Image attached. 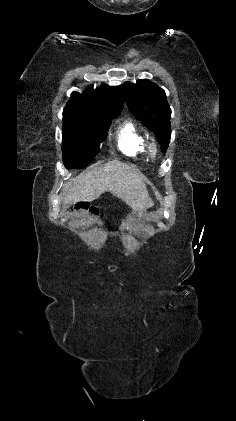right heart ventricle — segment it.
<instances>
[{
	"instance_id": "e07e8e85",
	"label": "right heart ventricle",
	"mask_w": 236,
	"mask_h": 421,
	"mask_svg": "<svg viewBox=\"0 0 236 421\" xmlns=\"http://www.w3.org/2000/svg\"><path fill=\"white\" fill-rule=\"evenodd\" d=\"M116 140L118 149L125 155L146 154L147 139L133 120H126L118 127Z\"/></svg>"
}]
</instances>
